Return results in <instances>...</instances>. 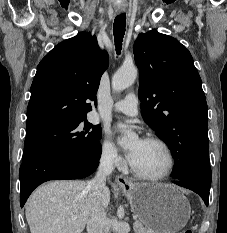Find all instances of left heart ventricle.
I'll list each match as a JSON object with an SVG mask.
<instances>
[{
  "label": "left heart ventricle",
  "mask_w": 227,
  "mask_h": 233,
  "mask_svg": "<svg viewBox=\"0 0 227 233\" xmlns=\"http://www.w3.org/2000/svg\"><path fill=\"white\" fill-rule=\"evenodd\" d=\"M136 147L130 160L132 165L147 174H160L168 166V157L164 149L155 143L135 141L130 147Z\"/></svg>",
  "instance_id": "1"
}]
</instances>
